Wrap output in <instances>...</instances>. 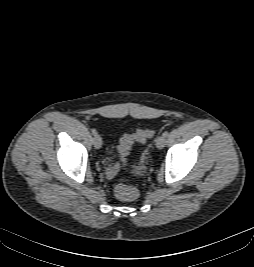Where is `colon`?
<instances>
[{"instance_id":"colon-1","label":"colon","mask_w":254,"mask_h":267,"mask_svg":"<svg viewBox=\"0 0 254 267\" xmlns=\"http://www.w3.org/2000/svg\"><path fill=\"white\" fill-rule=\"evenodd\" d=\"M153 131L149 129H139L134 133L124 135L118 147L119 155L122 161L126 160L132 146L134 143H142L148 138L153 136ZM115 195L124 201H133L135 200L139 192L135 187L128 186L124 183H118L114 189Z\"/></svg>"}]
</instances>
